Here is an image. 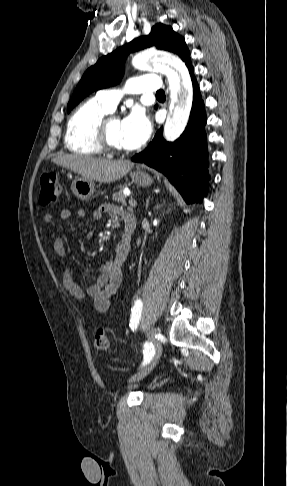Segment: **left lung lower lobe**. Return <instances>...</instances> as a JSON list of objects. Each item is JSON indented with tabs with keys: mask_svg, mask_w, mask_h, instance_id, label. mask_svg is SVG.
<instances>
[{
	"mask_svg": "<svg viewBox=\"0 0 287 486\" xmlns=\"http://www.w3.org/2000/svg\"><path fill=\"white\" fill-rule=\"evenodd\" d=\"M185 64L193 83V103L185 131L176 141L166 142L161 128L148 147L136 154L132 161L145 163L162 172L186 203H192L200 202L208 191V153L204 130L207 118L190 58Z\"/></svg>",
	"mask_w": 287,
	"mask_h": 486,
	"instance_id": "1",
	"label": "left lung lower lobe"
}]
</instances>
